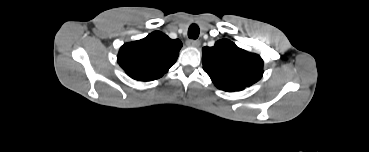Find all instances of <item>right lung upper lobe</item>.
Segmentation results:
<instances>
[{
	"label": "right lung upper lobe",
	"instance_id": "cb5924a9",
	"mask_svg": "<svg viewBox=\"0 0 369 152\" xmlns=\"http://www.w3.org/2000/svg\"><path fill=\"white\" fill-rule=\"evenodd\" d=\"M181 47L180 40H172L155 31L141 40L124 44L119 51L118 63L131 78L152 81L174 65Z\"/></svg>",
	"mask_w": 369,
	"mask_h": 152
}]
</instances>
